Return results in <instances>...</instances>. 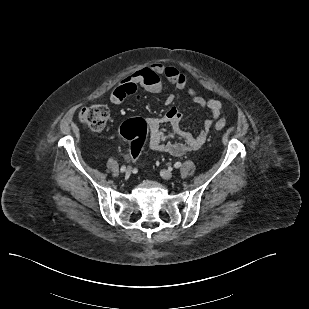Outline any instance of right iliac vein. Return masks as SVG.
Here are the masks:
<instances>
[{
    "instance_id": "obj_1",
    "label": "right iliac vein",
    "mask_w": 309,
    "mask_h": 309,
    "mask_svg": "<svg viewBox=\"0 0 309 309\" xmlns=\"http://www.w3.org/2000/svg\"><path fill=\"white\" fill-rule=\"evenodd\" d=\"M131 173H132V169L130 167H128L126 169V172H125L126 177H129L131 175Z\"/></svg>"
}]
</instances>
